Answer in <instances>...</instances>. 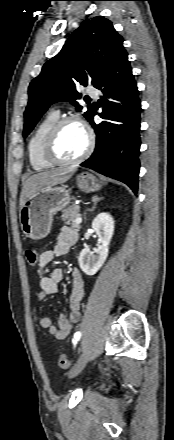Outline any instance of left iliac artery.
<instances>
[{"label":"left iliac artery","instance_id":"left-iliac-artery-1","mask_svg":"<svg viewBox=\"0 0 174 440\" xmlns=\"http://www.w3.org/2000/svg\"><path fill=\"white\" fill-rule=\"evenodd\" d=\"M80 337H81V332L78 331V332H76L74 334V337H73V340H72L74 346L77 344V342L79 341Z\"/></svg>","mask_w":174,"mask_h":440}]
</instances>
